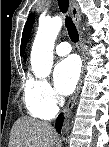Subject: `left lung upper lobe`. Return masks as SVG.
Masks as SVG:
<instances>
[{
	"label": "left lung upper lobe",
	"mask_w": 109,
	"mask_h": 147,
	"mask_svg": "<svg viewBox=\"0 0 109 147\" xmlns=\"http://www.w3.org/2000/svg\"><path fill=\"white\" fill-rule=\"evenodd\" d=\"M33 22H34V14H30L28 19H27V22H26V25H25V28H24V31H23V35H22L21 53H23V51H24L25 45L27 43V40H28V37H29V34H30V31H31L32 26H33Z\"/></svg>",
	"instance_id": "5c2ea615"
}]
</instances>
